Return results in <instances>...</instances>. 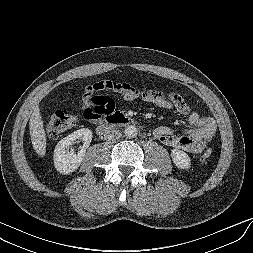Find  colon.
Listing matches in <instances>:
<instances>
[{"instance_id":"1","label":"colon","mask_w":253,"mask_h":253,"mask_svg":"<svg viewBox=\"0 0 253 253\" xmlns=\"http://www.w3.org/2000/svg\"><path fill=\"white\" fill-rule=\"evenodd\" d=\"M102 115H108L109 110H106L103 106H97L93 110V114L86 113V118L88 119H98ZM75 124V118L74 116L64 113L61 111H56L53 114H51L47 121V132L51 137H58L64 132L70 130ZM213 152L212 150H207L201 157L202 162L208 161Z\"/></svg>"}]
</instances>
